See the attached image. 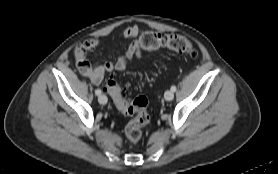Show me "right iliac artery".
I'll list each match as a JSON object with an SVG mask.
<instances>
[{
	"instance_id": "1",
	"label": "right iliac artery",
	"mask_w": 278,
	"mask_h": 174,
	"mask_svg": "<svg viewBox=\"0 0 278 174\" xmlns=\"http://www.w3.org/2000/svg\"><path fill=\"white\" fill-rule=\"evenodd\" d=\"M95 94L96 95H101V90L100 89L95 90Z\"/></svg>"
}]
</instances>
